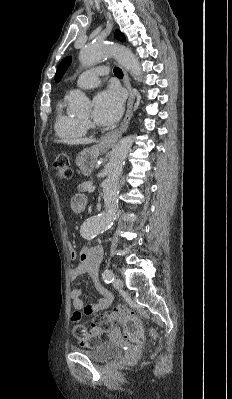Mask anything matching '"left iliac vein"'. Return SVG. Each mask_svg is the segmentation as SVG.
I'll list each match as a JSON object with an SVG mask.
<instances>
[{"instance_id": "left-iliac-vein-1", "label": "left iliac vein", "mask_w": 232, "mask_h": 399, "mask_svg": "<svg viewBox=\"0 0 232 399\" xmlns=\"http://www.w3.org/2000/svg\"><path fill=\"white\" fill-rule=\"evenodd\" d=\"M111 285L114 286L115 289H123L124 288L121 278H114V281L111 282Z\"/></svg>"}]
</instances>
